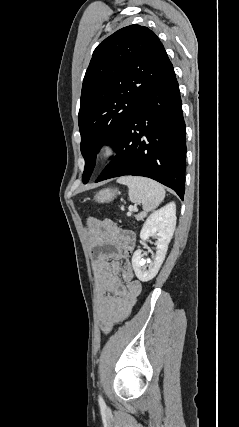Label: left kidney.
Segmentation results:
<instances>
[{
	"instance_id": "obj_1",
	"label": "left kidney",
	"mask_w": 239,
	"mask_h": 427,
	"mask_svg": "<svg viewBox=\"0 0 239 427\" xmlns=\"http://www.w3.org/2000/svg\"><path fill=\"white\" fill-rule=\"evenodd\" d=\"M175 226L176 205L174 202L153 212L144 223L140 232V238L146 241L149 237H155L157 241L156 255L154 260L150 261L148 265H146V261L142 259V250L138 249L133 254L132 266L140 281H150L158 273L165 259Z\"/></svg>"
}]
</instances>
